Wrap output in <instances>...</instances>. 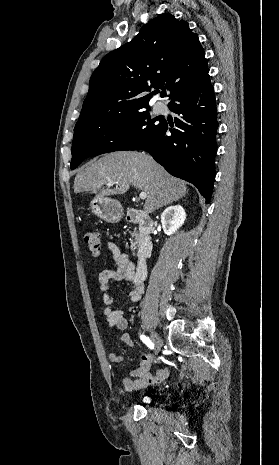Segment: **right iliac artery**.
<instances>
[{"mask_svg": "<svg viewBox=\"0 0 279 465\" xmlns=\"http://www.w3.org/2000/svg\"><path fill=\"white\" fill-rule=\"evenodd\" d=\"M141 340L151 349L154 348L153 342L149 339V337H146L145 335L140 336Z\"/></svg>", "mask_w": 279, "mask_h": 465, "instance_id": "82829eb1", "label": "right iliac artery"}]
</instances>
